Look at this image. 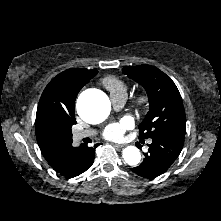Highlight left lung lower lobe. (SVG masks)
<instances>
[{"label":"left lung lower lobe","instance_id":"0a47b994","mask_svg":"<svg viewBox=\"0 0 221 221\" xmlns=\"http://www.w3.org/2000/svg\"><path fill=\"white\" fill-rule=\"evenodd\" d=\"M152 139L143 162L131 170L144 178L157 177L168 170L179 156L184 137L175 135H156Z\"/></svg>","mask_w":221,"mask_h":221}]
</instances>
